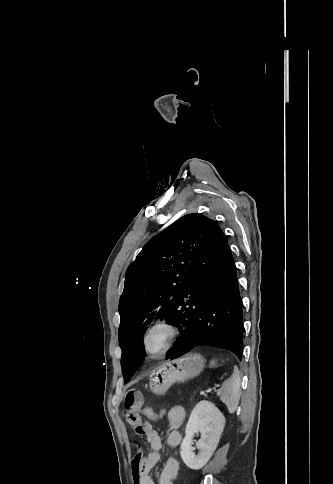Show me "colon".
Masks as SVG:
<instances>
[{
  "label": "colon",
  "mask_w": 333,
  "mask_h": 484,
  "mask_svg": "<svg viewBox=\"0 0 333 484\" xmlns=\"http://www.w3.org/2000/svg\"><path fill=\"white\" fill-rule=\"evenodd\" d=\"M163 410H155L152 407H144L143 415L149 420H157L163 415Z\"/></svg>",
  "instance_id": "obj_1"
}]
</instances>
